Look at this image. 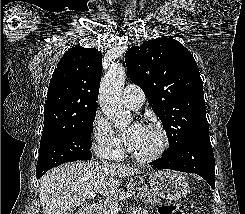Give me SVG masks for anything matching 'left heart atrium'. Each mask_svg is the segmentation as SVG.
<instances>
[{
	"label": "left heart atrium",
	"instance_id": "left-heart-atrium-1",
	"mask_svg": "<svg viewBox=\"0 0 245 214\" xmlns=\"http://www.w3.org/2000/svg\"><path fill=\"white\" fill-rule=\"evenodd\" d=\"M141 127L140 124L136 123L125 133L124 140L127 146L133 142Z\"/></svg>",
	"mask_w": 245,
	"mask_h": 214
}]
</instances>
